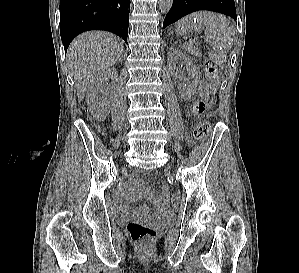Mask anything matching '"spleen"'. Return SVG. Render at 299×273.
Segmentation results:
<instances>
[{"label": "spleen", "instance_id": "spleen-1", "mask_svg": "<svg viewBox=\"0 0 299 273\" xmlns=\"http://www.w3.org/2000/svg\"><path fill=\"white\" fill-rule=\"evenodd\" d=\"M192 27L204 29L205 41L214 51L225 54L231 49L235 30L226 17L208 11L193 13L178 21L176 33L185 35Z\"/></svg>", "mask_w": 299, "mask_h": 273}]
</instances>
